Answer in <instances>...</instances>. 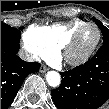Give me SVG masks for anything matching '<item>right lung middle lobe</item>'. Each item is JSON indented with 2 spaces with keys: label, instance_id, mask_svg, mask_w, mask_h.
<instances>
[{
  "label": "right lung middle lobe",
  "instance_id": "obj_1",
  "mask_svg": "<svg viewBox=\"0 0 109 109\" xmlns=\"http://www.w3.org/2000/svg\"><path fill=\"white\" fill-rule=\"evenodd\" d=\"M22 30H23V27L16 29L1 22V37L6 38L12 42H15V43L20 42V36H21Z\"/></svg>",
  "mask_w": 109,
  "mask_h": 109
}]
</instances>
